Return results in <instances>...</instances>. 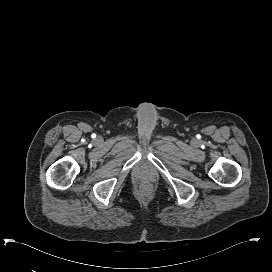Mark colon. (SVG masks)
<instances>
[{
    "mask_svg": "<svg viewBox=\"0 0 272 272\" xmlns=\"http://www.w3.org/2000/svg\"><path fill=\"white\" fill-rule=\"evenodd\" d=\"M151 186L150 185H147V184H145V185H143L142 187H141V192L143 193V194H150L151 193Z\"/></svg>",
    "mask_w": 272,
    "mask_h": 272,
    "instance_id": "obj_1",
    "label": "colon"
}]
</instances>
